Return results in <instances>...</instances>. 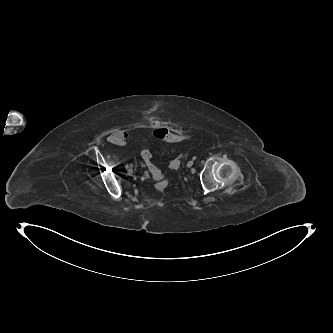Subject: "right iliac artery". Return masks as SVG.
<instances>
[{
  "label": "right iliac artery",
  "mask_w": 333,
  "mask_h": 333,
  "mask_svg": "<svg viewBox=\"0 0 333 333\" xmlns=\"http://www.w3.org/2000/svg\"><path fill=\"white\" fill-rule=\"evenodd\" d=\"M125 167H126V169H128V171L131 168L128 164Z\"/></svg>",
  "instance_id": "obj_1"
}]
</instances>
